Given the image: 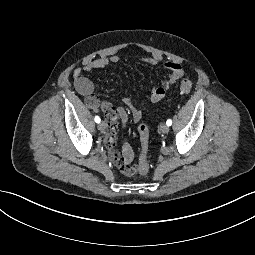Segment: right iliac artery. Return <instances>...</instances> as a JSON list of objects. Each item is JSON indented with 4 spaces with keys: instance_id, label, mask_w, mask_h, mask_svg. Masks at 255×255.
Here are the masks:
<instances>
[{
    "instance_id": "82829eb1",
    "label": "right iliac artery",
    "mask_w": 255,
    "mask_h": 255,
    "mask_svg": "<svg viewBox=\"0 0 255 255\" xmlns=\"http://www.w3.org/2000/svg\"><path fill=\"white\" fill-rule=\"evenodd\" d=\"M95 122L99 123L100 122V118L98 116L95 117Z\"/></svg>"
}]
</instances>
